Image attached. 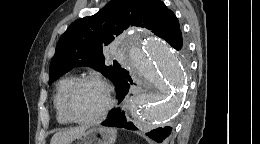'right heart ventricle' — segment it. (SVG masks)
Masks as SVG:
<instances>
[{"label": "right heart ventricle", "mask_w": 260, "mask_h": 144, "mask_svg": "<svg viewBox=\"0 0 260 144\" xmlns=\"http://www.w3.org/2000/svg\"><path fill=\"white\" fill-rule=\"evenodd\" d=\"M75 80V76H66L60 79L56 85V91L53 97V106L56 113V119L58 123L62 125H67L70 123V120L66 117L63 110V99L67 90Z\"/></svg>", "instance_id": "1"}]
</instances>
